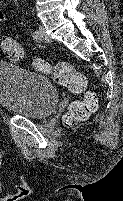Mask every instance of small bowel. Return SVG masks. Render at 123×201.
Here are the masks:
<instances>
[{"label":"small bowel","mask_w":123,"mask_h":201,"mask_svg":"<svg viewBox=\"0 0 123 201\" xmlns=\"http://www.w3.org/2000/svg\"><path fill=\"white\" fill-rule=\"evenodd\" d=\"M5 19H6L5 14L2 11H0V24L3 23Z\"/></svg>","instance_id":"small-bowel-1"}]
</instances>
